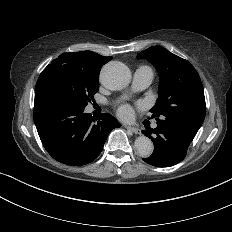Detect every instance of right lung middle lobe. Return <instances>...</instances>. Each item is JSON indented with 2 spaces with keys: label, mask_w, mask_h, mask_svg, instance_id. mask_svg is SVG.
I'll return each instance as SVG.
<instances>
[{
  "label": "right lung middle lobe",
  "mask_w": 232,
  "mask_h": 232,
  "mask_svg": "<svg viewBox=\"0 0 232 232\" xmlns=\"http://www.w3.org/2000/svg\"><path fill=\"white\" fill-rule=\"evenodd\" d=\"M48 89L85 108L99 89V75L63 65L56 60L40 74L35 90Z\"/></svg>",
  "instance_id": "obj_1"
}]
</instances>
